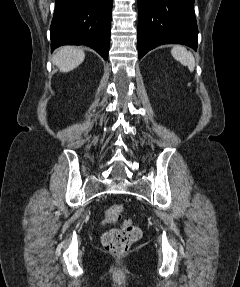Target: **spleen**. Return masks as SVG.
<instances>
[{"instance_id":"obj_1","label":"spleen","mask_w":240,"mask_h":287,"mask_svg":"<svg viewBox=\"0 0 240 287\" xmlns=\"http://www.w3.org/2000/svg\"><path fill=\"white\" fill-rule=\"evenodd\" d=\"M172 56L182 65L187 66L190 72L195 68V59L193 54L185 47L176 45L171 50Z\"/></svg>"}]
</instances>
